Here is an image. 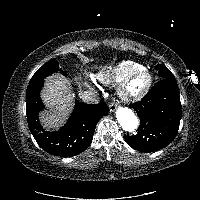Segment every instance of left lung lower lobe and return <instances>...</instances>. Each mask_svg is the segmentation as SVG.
<instances>
[{
  "label": "left lung lower lobe",
  "mask_w": 200,
  "mask_h": 200,
  "mask_svg": "<svg viewBox=\"0 0 200 200\" xmlns=\"http://www.w3.org/2000/svg\"><path fill=\"white\" fill-rule=\"evenodd\" d=\"M140 126L134 136H124L135 150L155 152L175 138L181 119V102L175 79H162L139 102L130 104Z\"/></svg>",
  "instance_id": "obj_1"
}]
</instances>
